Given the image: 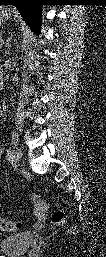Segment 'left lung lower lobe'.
Returning a JSON list of instances; mask_svg holds the SVG:
<instances>
[{"label": "left lung lower lobe", "instance_id": "1", "mask_svg": "<svg viewBox=\"0 0 106 257\" xmlns=\"http://www.w3.org/2000/svg\"><path fill=\"white\" fill-rule=\"evenodd\" d=\"M0 2L3 5H8L6 3L10 2V5L16 6L31 29L35 33L39 32L41 5L38 4V0H0Z\"/></svg>", "mask_w": 106, "mask_h": 257}]
</instances>
